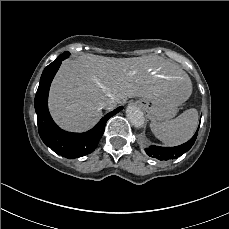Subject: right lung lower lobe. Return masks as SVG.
Masks as SVG:
<instances>
[{"mask_svg":"<svg viewBox=\"0 0 229 229\" xmlns=\"http://www.w3.org/2000/svg\"><path fill=\"white\" fill-rule=\"evenodd\" d=\"M67 57V54H61L44 69L35 96V111L39 135L45 145L58 155L66 158H77L95 150L104 133L106 122L123 107H118L105 115L93 129L85 133H71L59 128L50 116L47 101L50 84L61 62Z\"/></svg>","mask_w":229,"mask_h":229,"instance_id":"1","label":"right lung lower lobe"}]
</instances>
